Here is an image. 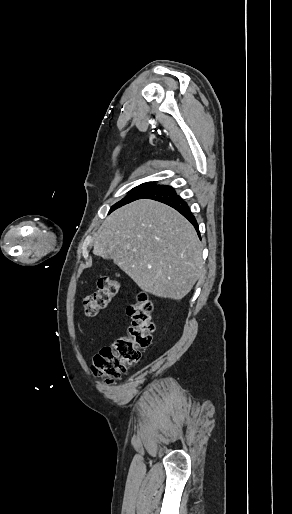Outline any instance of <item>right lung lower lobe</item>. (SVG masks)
Returning a JSON list of instances; mask_svg holds the SVG:
<instances>
[{
  "label": "right lung lower lobe",
  "mask_w": 292,
  "mask_h": 514,
  "mask_svg": "<svg viewBox=\"0 0 292 514\" xmlns=\"http://www.w3.org/2000/svg\"><path fill=\"white\" fill-rule=\"evenodd\" d=\"M142 198L153 199L176 209L194 225L198 235L200 236L198 224L191 213L189 206L179 195L176 194V191L171 186L157 185L147 192Z\"/></svg>",
  "instance_id": "98d812e1"
}]
</instances>
